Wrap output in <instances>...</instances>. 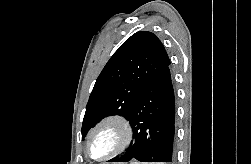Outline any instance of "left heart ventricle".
<instances>
[{"instance_id":"1","label":"left heart ventricle","mask_w":251,"mask_h":164,"mask_svg":"<svg viewBox=\"0 0 251 164\" xmlns=\"http://www.w3.org/2000/svg\"><path fill=\"white\" fill-rule=\"evenodd\" d=\"M119 134L111 126H106L99 130L91 141V153L95 157H102L111 152L118 144Z\"/></svg>"}]
</instances>
